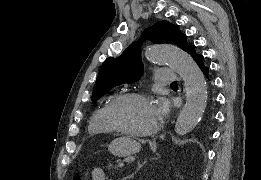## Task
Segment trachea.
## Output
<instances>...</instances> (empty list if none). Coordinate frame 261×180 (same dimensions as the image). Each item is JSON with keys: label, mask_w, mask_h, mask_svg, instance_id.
Listing matches in <instances>:
<instances>
[{"label": "trachea", "mask_w": 261, "mask_h": 180, "mask_svg": "<svg viewBox=\"0 0 261 180\" xmlns=\"http://www.w3.org/2000/svg\"><path fill=\"white\" fill-rule=\"evenodd\" d=\"M172 84H177V82H172Z\"/></svg>", "instance_id": "3493384b"}]
</instances>
